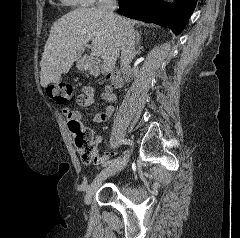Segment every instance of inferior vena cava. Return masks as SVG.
I'll return each mask as SVG.
<instances>
[{
    "label": "inferior vena cava",
    "instance_id": "602c4592",
    "mask_svg": "<svg viewBox=\"0 0 240 238\" xmlns=\"http://www.w3.org/2000/svg\"><path fill=\"white\" fill-rule=\"evenodd\" d=\"M117 8V0H99L98 10L110 22L117 24L121 32V67L127 68L133 59L135 51V32L131 25H129L122 17L114 14Z\"/></svg>",
    "mask_w": 240,
    "mask_h": 238
}]
</instances>
